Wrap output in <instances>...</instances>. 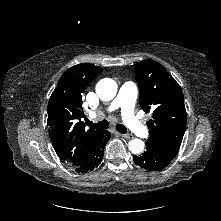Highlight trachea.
Wrapping results in <instances>:
<instances>
[{"label": "trachea", "mask_w": 221, "mask_h": 221, "mask_svg": "<svg viewBox=\"0 0 221 221\" xmlns=\"http://www.w3.org/2000/svg\"><path fill=\"white\" fill-rule=\"evenodd\" d=\"M86 124L90 127H93L95 129L103 130L109 128V122L107 120H102L98 123H93L92 121L86 120ZM116 130L120 133H126L127 128L122 124L116 125Z\"/></svg>", "instance_id": "obj_1"}]
</instances>
